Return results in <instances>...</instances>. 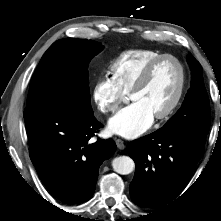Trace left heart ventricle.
<instances>
[{
    "label": "left heart ventricle",
    "mask_w": 221,
    "mask_h": 221,
    "mask_svg": "<svg viewBox=\"0 0 221 221\" xmlns=\"http://www.w3.org/2000/svg\"><path fill=\"white\" fill-rule=\"evenodd\" d=\"M179 78L176 63L165 60L154 69L148 83L130 96V100L141 103L155 116L170 105L177 91Z\"/></svg>",
    "instance_id": "left-heart-ventricle-1"
}]
</instances>
